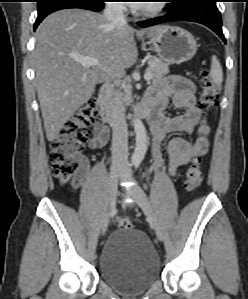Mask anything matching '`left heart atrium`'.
<instances>
[{
	"instance_id": "obj_1",
	"label": "left heart atrium",
	"mask_w": 248,
	"mask_h": 299,
	"mask_svg": "<svg viewBox=\"0 0 248 299\" xmlns=\"http://www.w3.org/2000/svg\"><path fill=\"white\" fill-rule=\"evenodd\" d=\"M130 3H131V6H134V7H142L144 2L141 0H133Z\"/></svg>"
}]
</instances>
